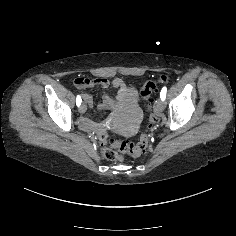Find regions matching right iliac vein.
<instances>
[{"label":"right iliac vein","mask_w":236,"mask_h":236,"mask_svg":"<svg viewBox=\"0 0 236 236\" xmlns=\"http://www.w3.org/2000/svg\"><path fill=\"white\" fill-rule=\"evenodd\" d=\"M85 111H86V105H85V103H83L82 105L79 106V112L85 113Z\"/></svg>","instance_id":"63e3f726"}]
</instances>
